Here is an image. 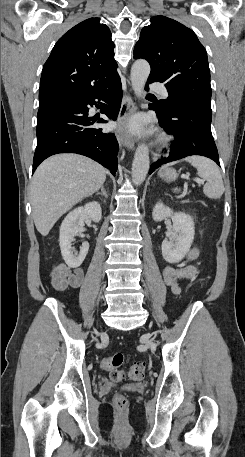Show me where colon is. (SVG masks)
Wrapping results in <instances>:
<instances>
[{
	"instance_id": "colon-1",
	"label": "colon",
	"mask_w": 245,
	"mask_h": 457,
	"mask_svg": "<svg viewBox=\"0 0 245 457\" xmlns=\"http://www.w3.org/2000/svg\"><path fill=\"white\" fill-rule=\"evenodd\" d=\"M124 363V356L121 353L114 354L102 361V368L110 372L112 381H122L126 377L130 380H140L144 376L145 367L142 362L132 364L126 372L119 368ZM114 406L123 410L127 406V399L123 394L116 393L113 397Z\"/></svg>"
}]
</instances>
